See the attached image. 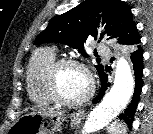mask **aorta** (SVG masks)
<instances>
[{"label": "aorta", "mask_w": 153, "mask_h": 134, "mask_svg": "<svg viewBox=\"0 0 153 134\" xmlns=\"http://www.w3.org/2000/svg\"><path fill=\"white\" fill-rule=\"evenodd\" d=\"M134 91V78L128 61L120 57L116 64L114 84L101 103L90 113L83 134L100 130L127 106Z\"/></svg>", "instance_id": "762f6f07"}]
</instances>
